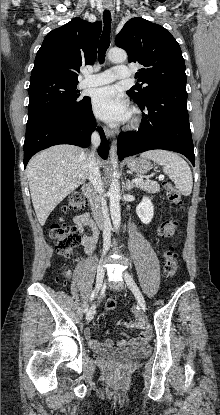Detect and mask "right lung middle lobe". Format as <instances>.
<instances>
[{
  "label": "right lung middle lobe",
  "instance_id": "dd1d6c3e",
  "mask_svg": "<svg viewBox=\"0 0 220 415\" xmlns=\"http://www.w3.org/2000/svg\"><path fill=\"white\" fill-rule=\"evenodd\" d=\"M77 84L78 81L48 77L30 80L28 122L55 110L68 115L79 113L89 97L80 96Z\"/></svg>",
  "mask_w": 220,
  "mask_h": 415
}]
</instances>
